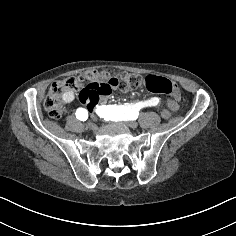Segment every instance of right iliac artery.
<instances>
[{"instance_id":"obj_1","label":"right iliac artery","mask_w":236,"mask_h":236,"mask_svg":"<svg viewBox=\"0 0 236 236\" xmlns=\"http://www.w3.org/2000/svg\"><path fill=\"white\" fill-rule=\"evenodd\" d=\"M76 118L79 119L80 121H86L88 118V111L84 108H78L76 110Z\"/></svg>"}]
</instances>
